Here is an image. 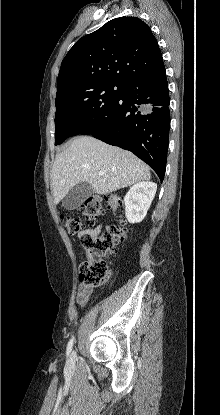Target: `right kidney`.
I'll list each match as a JSON object with an SVG mask.
<instances>
[{
	"label": "right kidney",
	"mask_w": 220,
	"mask_h": 415,
	"mask_svg": "<svg viewBox=\"0 0 220 415\" xmlns=\"http://www.w3.org/2000/svg\"><path fill=\"white\" fill-rule=\"evenodd\" d=\"M157 190L153 182H139L134 184L124 197L125 215L129 223L141 222L150 208Z\"/></svg>",
	"instance_id": "obj_1"
}]
</instances>
